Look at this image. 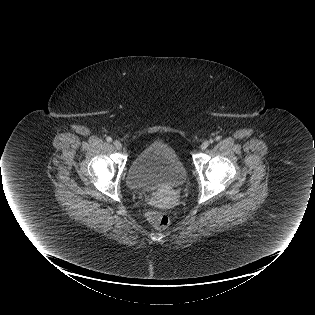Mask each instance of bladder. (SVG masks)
<instances>
[{
	"mask_svg": "<svg viewBox=\"0 0 315 315\" xmlns=\"http://www.w3.org/2000/svg\"><path fill=\"white\" fill-rule=\"evenodd\" d=\"M187 170L169 144L156 141L142 149L132 160L127 183L133 190L153 191L163 186H181Z\"/></svg>",
	"mask_w": 315,
	"mask_h": 315,
	"instance_id": "31cf9c89",
	"label": "bladder"
}]
</instances>
